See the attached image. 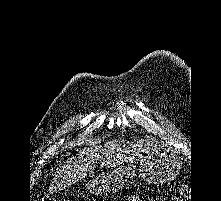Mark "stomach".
Here are the masks:
<instances>
[{"mask_svg": "<svg viewBox=\"0 0 221 201\" xmlns=\"http://www.w3.org/2000/svg\"><path fill=\"white\" fill-rule=\"evenodd\" d=\"M181 168L180 158L168 151H155L145 155L139 163V176L151 184H163L174 178ZM136 178L135 170L122 166L94 176L87 189L92 194L119 191L131 184Z\"/></svg>", "mask_w": 221, "mask_h": 201, "instance_id": "obj_1", "label": "stomach"}]
</instances>
